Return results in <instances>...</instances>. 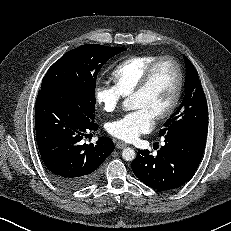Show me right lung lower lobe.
<instances>
[{
    "label": "right lung lower lobe",
    "mask_w": 231,
    "mask_h": 231,
    "mask_svg": "<svg viewBox=\"0 0 231 231\" xmlns=\"http://www.w3.org/2000/svg\"><path fill=\"white\" fill-rule=\"evenodd\" d=\"M98 125L80 106L60 95L39 90L35 103L36 140L41 158L52 180L68 190L85 188L102 172L103 162L114 150L108 137L95 144H82Z\"/></svg>",
    "instance_id": "1"
}]
</instances>
